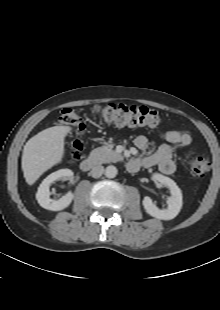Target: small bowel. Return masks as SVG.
<instances>
[{
    "label": "small bowel",
    "mask_w": 220,
    "mask_h": 310,
    "mask_svg": "<svg viewBox=\"0 0 220 310\" xmlns=\"http://www.w3.org/2000/svg\"><path fill=\"white\" fill-rule=\"evenodd\" d=\"M164 141L157 150L151 154L140 157V167L157 166L164 174H172L176 170V164L172 157V147L188 148L193 144L192 135L185 130H170L161 135ZM135 145L140 151H147L149 141L146 136L139 135L135 138Z\"/></svg>",
    "instance_id": "1"
}]
</instances>
